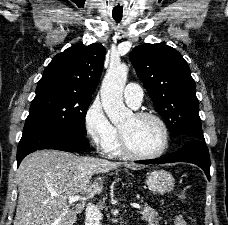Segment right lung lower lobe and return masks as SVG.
I'll return each instance as SVG.
<instances>
[{
  "instance_id": "98d812e1",
  "label": "right lung lower lobe",
  "mask_w": 228,
  "mask_h": 225,
  "mask_svg": "<svg viewBox=\"0 0 228 225\" xmlns=\"http://www.w3.org/2000/svg\"><path fill=\"white\" fill-rule=\"evenodd\" d=\"M41 149H56L67 152L88 150L89 144L84 134L75 130L51 124L24 127L17 149V166L22 159Z\"/></svg>"
}]
</instances>
